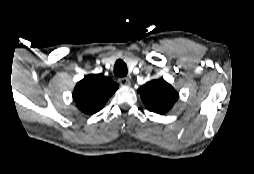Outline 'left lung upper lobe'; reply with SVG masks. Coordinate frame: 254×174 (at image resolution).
Segmentation results:
<instances>
[{
	"mask_svg": "<svg viewBox=\"0 0 254 174\" xmlns=\"http://www.w3.org/2000/svg\"><path fill=\"white\" fill-rule=\"evenodd\" d=\"M138 92L146 108L158 114L168 112L179 97L176 90L164 79L147 82Z\"/></svg>",
	"mask_w": 254,
	"mask_h": 174,
	"instance_id": "5c2ea615",
	"label": "left lung upper lobe"
}]
</instances>
